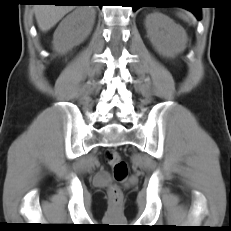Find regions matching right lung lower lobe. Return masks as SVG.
<instances>
[{
	"mask_svg": "<svg viewBox=\"0 0 231 231\" xmlns=\"http://www.w3.org/2000/svg\"><path fill=\"white\" fill-rule=\"evenodd\" d=\"M79 0H36L39 3H54L55 5H75Z\"/></svg>",
	"mask_w": 231,
	"mask_h": 231,
	"instance_id": "1",
	"label": "right lung lower lobe"
}]
</instances>
